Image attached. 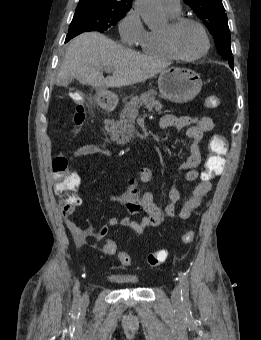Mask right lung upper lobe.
<instances>
[{"mask_svg": "<svg viewBox=\"0 0 261 340\" xmlns=\"http://www.w3.org/2000/svg\"><path fill=\"white\" fill-rule=\"evenodd\" d=\"M79 4L115 6L130 9L132 5V0H80Z\"/></svg>", "mask_w": 261, "mask_h": 340, "instance_id": "right-lung-upper-lobe-1", "label": "right lung upper lobe"}]
</instances>
